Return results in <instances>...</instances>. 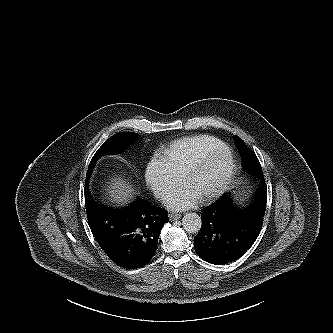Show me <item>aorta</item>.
Returning a JSON list of instances; mask_svg holds the SVG:
<instances>
[{"instance_id": "762f6f07", "label": "aorta", "mask_w": 333, "mask_h": 333, "mask_svg": "<svg viewBox=\"0 0 333 333\" xmlns=\"http://www.w3.org/2000/svg\"><path fill=\"white\" fill-rule=\"evenodd\" d=\"M182 225L186 232L198 233L202 225L201 217L197 213H186L182 218Z\"/></svg>"}]
</instances>
